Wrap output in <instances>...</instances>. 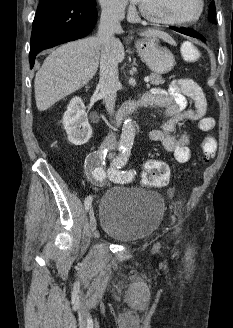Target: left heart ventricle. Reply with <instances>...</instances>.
<instances>
[{
    "label": "left heart ventricle",
    "mask_w": 233,
    "mask_h": 328,
    "mask_svg": "<svg viewBox=\"0 0 233 328\" xmlns=\"http://www.w3.org/2000/svg\"><path fill=\"white\" fill-rule=\"evenodd\" d=\"M140 5L148 13L170 20L190 19L198 8L197 0H142Z\"/></svg>",
    "instance_id": "left-heart-ventricle-1"
}]
</instances>
